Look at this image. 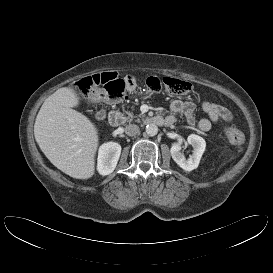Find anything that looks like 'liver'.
Listing matches in <instances>:
<instances>
[{
	"mask_svg": "<svg viewBox=\"0 0 273 273\" xmlns=\"http://www.w3.org/2000/svg\"><path fill=\"white\" fill-rule=\"evenodd\" d=\"M79 103L80 97L72 87L58 89L41 106L34 135L55 167L73 178L88 179L95 173L99 135L89 118L72 109Z\"/></svg>",
	"mask_w": 273,
	"mask_h": 273,
	"instance_id": "6515ba94",
	"label": "liver"
}]
</instances>
